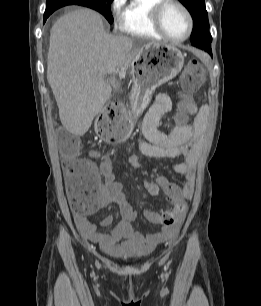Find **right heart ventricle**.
Listing matches in <instances>:
<instances>
[{
    "mask_svg": "<svg viewBox=\"0 0 261 306\" xmlns=\"http://www.w3.org/2000/svg\"><path fill=\"white\" fill-rule=\"evenodd\" d=\"M160 0H128L122 3L121 32L145 39L163 38L151 22V11Z\"/></svg>",
    "mask_w": 261,
    "mask_h": 306,
    "instance_id": "obj_1",
    "label": "right heart ventricle"
}]
</instances>
